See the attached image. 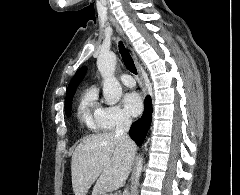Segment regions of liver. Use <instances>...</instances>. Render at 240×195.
I'll list each match as a JSON object with an SVG mask.
<instances>
[{"mask_svg": "<svg viewBox=\"0 0 240 195\" xmlns=\"http://www.w3.org/2000/svg\"><path fill=\"white\" fill-rule=\"evenodd\" d=\"M136 143H125L114 131L88 135L73 151L72 187L75 195H87L92 183L103 193L124 185L136 153Z\"/></svg>", "mask_w": 240, "mask_h": 195, "instance_id": "6515ba94", "label": "liver"}]
</instances>
